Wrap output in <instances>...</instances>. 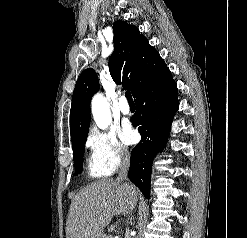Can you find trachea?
<instances>
[{"label": "trachea", "mask_w": 247, "mask_h": 238, "mask_svg": "<svg viewBox=\"0 0 247 238\" xmlns=\"http://www.w3.org/2000/svg\"><path fill=\"white\" fill-rule=\"evenodd\" d=\"M125 96H126V98H127V100H128V103H134L130 91H127V92L125 93Z\"/></svg>", "instance_id": "obj_1"}]
</instances>
